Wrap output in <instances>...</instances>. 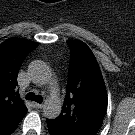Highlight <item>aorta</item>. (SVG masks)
Returning a JSON list of instances; mask_svg holds the SVG:
<instances>
[{
  "label": "aorta",
  "mask_w": 135,
  "mask_h": 135,
  "mask_svg": "<svg viewBox=\"0 0 135 135\" xmlns=\"http://www.w3.org/2000/svg\"><path fill=\"white\" fill-rule=\"evenodd\" d=\"M30 76L38 84L47 83L50 79L48 66L42 61H34L29 67ZM61 112V105L53 99H47L43 106V114L48 119H55Z\"/></svg>",
  "instance_id": "obj_1"
}]
</instances>
